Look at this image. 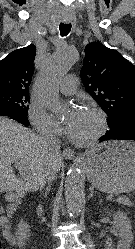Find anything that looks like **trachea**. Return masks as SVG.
Here are the masks:
<instances>
[{
  "label": "trachea",
  "instance_id": "3493384b",
  "mask_svg": "<svg viewBox=\"0 0 135 249\" xmlns=\"http://www.w3.org/2000/svg\"><path fill=\"white\" fill-rule=\"evenodd\" d=\"M59 30L61 36H67L71 30V24L60 23Z\"/></svg>",
  "mask_w": 135,
  "mask_h": 249
}]
</instances>
